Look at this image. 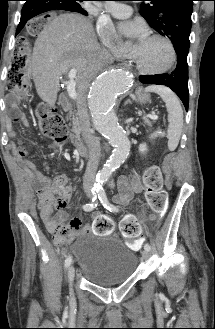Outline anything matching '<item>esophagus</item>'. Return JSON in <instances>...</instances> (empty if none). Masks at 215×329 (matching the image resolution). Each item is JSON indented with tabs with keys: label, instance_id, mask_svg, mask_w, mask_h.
Instances as JSON below:
<instances>
[{
	"label": "esophagus",
	"instance_id": "esophagus-1",
	"mask_svg": "<svg viewBox=\"0 0 215 329\" xmlns=\"http://www.w3.org/2000/svg\"><path fill=\"white\" fill-rule=\"evenodd\" d=\"M124 66H125V67H128L129 65L126 64V65H124Z\"/></svg>",
	"mask_w": 215,
	"mask_h": 329
}]
</instances>
